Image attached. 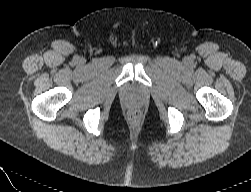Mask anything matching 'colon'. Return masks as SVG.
I'll use <instances>...</instances> for the list:
<instances>
[{
  "mask_svg": "<svg viewBox=\"0 0 251 192\" xmlns=\"http://www.w3.org/2000/svg\"><path fill=\"white\" fill-rule=\"evenodd\" d=\"M129 117L132 121H136L139 118V113L137 111H132L130 112Z\"/></svg>",
  "mask_w": 251,
  "mask_h": 192,
  "instance_id": "1",
  "label": "colon"
}]
</instances>
